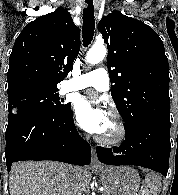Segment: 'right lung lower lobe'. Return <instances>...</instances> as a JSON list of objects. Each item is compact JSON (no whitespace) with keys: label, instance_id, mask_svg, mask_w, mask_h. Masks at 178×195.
I'll return each mask as SVG.
<instances>
[{"label":"right lung lower lobe","instance_id":"98d812e1","mask_svg":"<svg viewBox=\"0 0 178 195\" xmlns=\"http://www.w3.org/2000/svg\"><path fill=\"white\" fill-rule=\"evenodd\" d=\"M6 164L24 160H55L76 165L91 161L90 145L78 134L71 108L63 112H9Z\"/></svg>","mask_w":178,"mask_h":195}]
</instances>
